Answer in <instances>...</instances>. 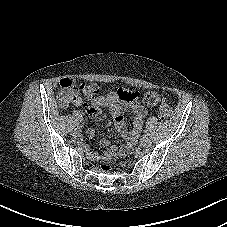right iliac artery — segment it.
Here are the masks:
<instances>
[{
  "label": "right iliac artery",
  "mask_w": 227,
  "mask_h": 227,
  "mask_svg": "<svg viewBox=\"0 0 227 227\" xmlns=\"http://www.w3.org/2000/svg\"><path fill=\"white\" fill-rule=\"evenodd\" d=\"M73 127H74L75 129H80V124L74 123V124H73Z\"/></svg>",
  "instance_id": "right-iliac-artery-1"
}]
</instances>
